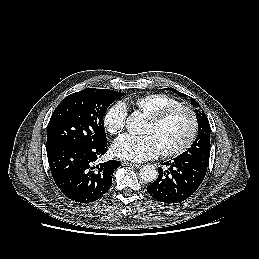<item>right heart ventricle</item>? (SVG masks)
I'll list each match as a JSON object with an SVG mask.
<instances>
[{
	"instance_id": "1",
	"label": "right heart ventricle",
	"mask_w": 259,
	"mask_h": 259,
	"mask_svg": "<svg viewBox=\"0 0 259 259\" xmlns=\"http://www.w3.org/2000/svg\"><path fill=\"white\" fill-rule=\"evenodd\" d=\"M128 102L146 117H150L166 107L180 104L177 99L163 93H149L136 96L129 99Z\"/></svg>"
}]
</instances>
